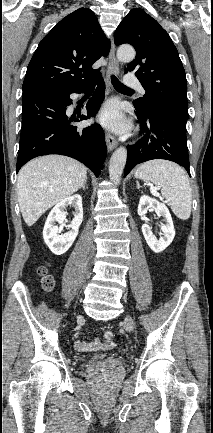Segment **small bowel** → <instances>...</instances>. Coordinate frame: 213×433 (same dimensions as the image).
I'll return each instance as SVG.
<instances>
[{
    "instance_id": "c3829d8e",
    "label": "small bowel",
    "mask_w": 213,
    "mask_h": 433,
    "mask_svg": "<svg viewBox=\"0 0 213 433\" xmlns=\"http://www.w3.org/2000/svg\"><path fill=\"white\" fill-rule=\"evenodd\" d=\"M75 349L81 352H89L100 349H108L114 346L113 342H102L100 340H94L92 342H86L82 339H78L75 342Z\"/></svg>"
}]
</instances>
